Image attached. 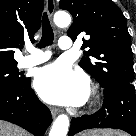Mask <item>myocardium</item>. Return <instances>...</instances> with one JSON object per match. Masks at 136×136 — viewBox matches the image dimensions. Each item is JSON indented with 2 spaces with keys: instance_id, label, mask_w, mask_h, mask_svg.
Instances as JSON below:
<instances>
[{
  "instance_id": "1",
  "label": "myocardium",
  "mask_w": 136,
  "mask_h": 136,
  "mask_svg": "<svg viewBox=\"0 0 136 136\" xmlns=\"http://www.w3.org/2000/svg\"><path fill=\"white\" fill-rule=\"evenodd\" d=\"M90 97L92 99V102H96L98 98V90L95 86H92L90 89Z\"/></svg>"
}]
</instances>
